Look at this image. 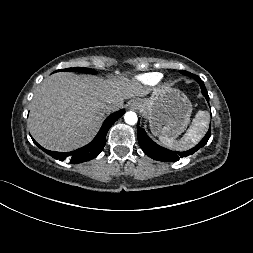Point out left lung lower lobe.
I'll list each match as a JSON object with an SVG mask.
<instances>
[{
	"label": "left lung lower lobe",
	"mask_w": 253,
	"mask_h": 253,
	"mask_svg": "<svg viewBox=\"0 0 253 253\" xmlns=\"http://www.w3.org/2000/svg\"><path fill=\"white\" fill-rule=\"evenodd\" d=\"M188 76L194 78L199 83L203 96H205L206 100L209 102L208 92L206 90V87L203 81L200 79V77L190 72L188 73ZM210 135H211V132L209 129L205 137L194 148L185 152H175V151L165 149L157 145L155 142H153L147 136L145 130L139 126V121H138V126H137L138 142L141 149L144 151L146 155H148L152 159L163 161V162H175V161H178L182 157H186L188 155L195 153L197 150H199V148L203 147L207 143V141L210 138Z\"/></svg>",
	"instance_id": "left-lung-lower-lobe-1"
}]
</instances>
